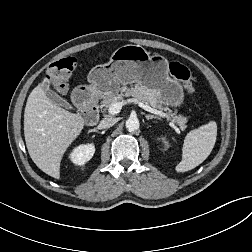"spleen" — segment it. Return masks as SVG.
I'll return each instance as SVG.
<instances>
[{"mask_svg": "<svg viewBox=\"0 0 252 252\" xmlns=\"http://www.w3.org/2000/svg\"><path fill=\"white\" fill-rule=\"evenodd\" d=\"M217 136V124L210 121L190 131L184 140L182 160L176 166L177 172H186L201 164L211 153Z\"/></svg>", "mask_w": 252, "mask_h": 252, "instance_id": "obj_1", "label": "spleen"}]
</instances>
